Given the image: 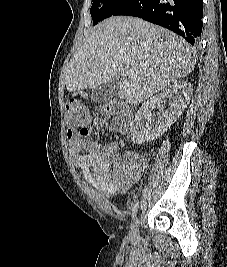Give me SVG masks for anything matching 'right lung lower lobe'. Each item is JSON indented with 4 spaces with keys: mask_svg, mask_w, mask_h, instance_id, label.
Segmentation results:
<instances>
[{
    "mask_svg": "<svg viewBox=\"0 0 227 267\" xmlns=\"http://www.w3.org/2000/svg\"><path fill=\"white\" fill-rule=\"evenodd\" d=\"M113 15L142 18L174 31L194 45L202 32L203 0H129Z\"/></svg>",
    "mask_w": 227,
    "mask_h": 267,
    "instance_id": "right-lung-lower-lobe-1",
    "label": "right lung lower lobe"
}]
</instances>
